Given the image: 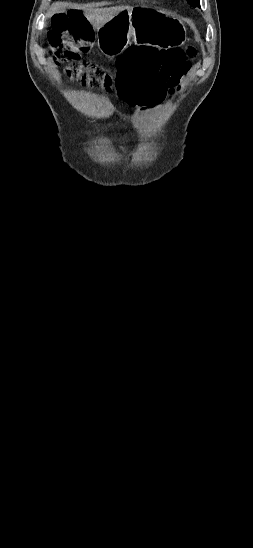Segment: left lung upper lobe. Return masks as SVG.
<instances>
[{"mask_svg": "<svg viewBox=\"0 0 253 548\" xmlns=\"http://www.w3.org/2000/svg\"><path fill=\"white\" fill-rule=\"evenodd\" d=\"M187 2L193 7H200V1L199 0H187Z\"/></svg>", "mask_w": 253, "mask_h": 548, "instance_id": "1", "label": "left lung upper lobe"}]
</instances>
